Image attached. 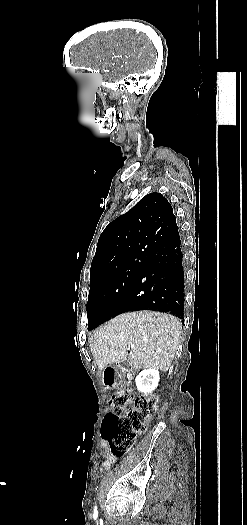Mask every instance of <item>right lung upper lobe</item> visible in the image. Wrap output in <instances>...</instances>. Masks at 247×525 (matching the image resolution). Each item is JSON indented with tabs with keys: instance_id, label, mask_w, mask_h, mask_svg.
<instances>
[{
	"instance_id": "cb5924a9",
	"label": "right lung upper lobe",
	"mask_w": 247,
	"mask_h": 525,
	"mask_svg": "<svg viewBox=\"0 0 247 525\" xmlns=\"http://www.w3.org/2000/svg\"><path fill=\"white\" fill-rule=\"evenodd\" d=\"M177 232L171 204L162 194L150 193L104 229L90 273L127 267Z\"/></svg>"
}]
</instances>
